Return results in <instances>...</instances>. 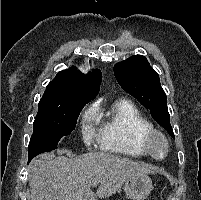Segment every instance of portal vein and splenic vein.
I'll return each instance as SVG.
<instances>
[{"instance_id": "obj_1", "label": "portal vein and splenic vein", "mask_w": 201, "mask_h": 200, "mask_svg": "<svg viewBox=\"0 0 201 200\" xmlns=\"http://www.w3.org/2000/svg\"><path fill=\"white\" fill-rule=\"evenodd\" d=\"M97 184H98V182L95 181L92 183V186H96Z\"/></svg>"}]
</instances>
